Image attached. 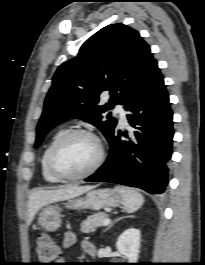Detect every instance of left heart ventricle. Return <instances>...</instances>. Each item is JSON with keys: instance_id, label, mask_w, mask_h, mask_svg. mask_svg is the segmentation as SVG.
Segmentation results:
<instances>
[{"instance_id": "b2bd125f", "label": "left heart ventricle", "mask_w": 205, "mask_h": 265, "mask_svg": "<svg viewBox=\"0 0 205 265\" xmlns=\"http://www.w3.org/2000/svg\"><path fill=\"white\" fill-rule=\"evenodd\" d=\"M98 147L87 136H74L64 142L53 157L55 168L63 174L76 175L86 171L96 161Z\"/></svg>"}]
</instances>
